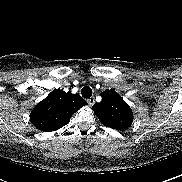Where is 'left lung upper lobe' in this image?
Returning a JSON list of instances; mask_svg holds the SVG:
<instances>
[{"label":"left lung upper lobe","mask_w":182,"mask_h":182,"mask_svg":"<svg viewBox=\"0 0 182 182\" xmlns=\"http://www.w3.org/2000/svg\"><path fill=\"white\" fill-rule=\"evenodd\" d=\"M101 97V102L95 103L92 107L100 122L118 131L130 127L133 112L123 98L114 89L102 92Z\"/></svg>","instance_id":"1"}]
</instances>
